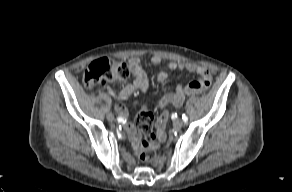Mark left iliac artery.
Masks as SVG:
<instances>
[{"label":"left iliac artery","mask_w":292,"mask_h":192,"mask_svg":"<svg viewBox=\"0 0 292 192\" xmlns=\"http://www.w3.org/2000/svg\"><path fill=\"white\" fill-rule=\"evenodd\" d=\"M182 120H183L184 122H187V121H188V117H187L185 114H183V115H182Z\"/></svg>","instance_id":"1"}]
</instances>
